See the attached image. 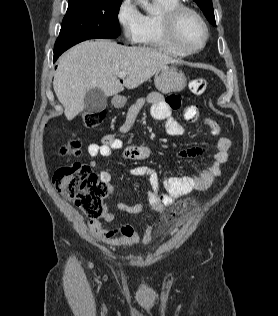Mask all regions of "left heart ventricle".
<instances>
[{"label":"left heart ventricle","instance_id":"left-heart-ventricle-1","mask_svg":"<svg viewBox=\"0 0 278 316\" xmlns=\"http://www.w3.org/2000/svg\"><path fill=\"white\" fill-rule=\"evenodd\" d=\"M180 33L183 41L192 48L201 45L204 38V30L199 21L192 15H185L180 23Z\"/></svg>","mask_w":278,"mask_h":316}]
</instances>
